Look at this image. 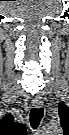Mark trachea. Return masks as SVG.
Listing matches in <instances>:
<instances>
[{"label":"trachea","mask_w":69,"mask_h":135,"mask_svg":"<svg viewBox=\"0 0 69 135\" xmlns=\"http://www.w3.org/2000/svg\"><path fill=\"white\" fill-rule=\"evenodd\" d=\"M44 115V109L43 108H33L30 111V125L33 129H37L39 126L41 119L43 118Z\"/></svg>","instance_id":"obj_1"}]
</instances>
